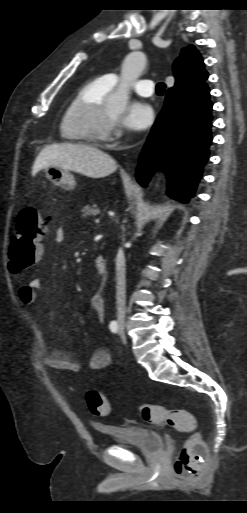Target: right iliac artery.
Segmentation results:
<instances>
[{
  "label": "right iliac artery",
  "mask_w": 247,
  "mask_h": 513,
  "mask_svg": "<svg viewBox=\"0 0 247 513\" xmlns=\"http://www.w3.org/2000/svg\"><path fill=\"white\" fill-rule=\"evenodd\" d=\"M109 328H110L111 332L117 333L118 332V323L116 321H111Z\"/></svg>",
  "instance_id": "1"
}]
</instances>
